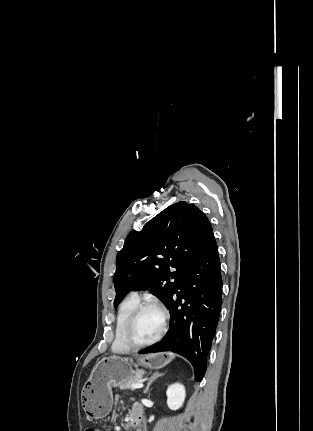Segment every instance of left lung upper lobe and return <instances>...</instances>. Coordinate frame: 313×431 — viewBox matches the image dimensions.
Instances as JSON below:
<instances>
[{"instance_id":"1","label":"left lung upper lobe","mask_w":313,"mask_h":431,"mask_svg":"<svg viewBox=\"0 0 313 431\" xmlns=\"http://www.w3.org/2000/svg\"><path fill=\"white\" fill-rule=\"evenodd\" d=\"M211 232L206 215L180 201L131 233L116 257L114 307L128 292L147 289L167 307Z\"/></svg>"}]
</instances>
